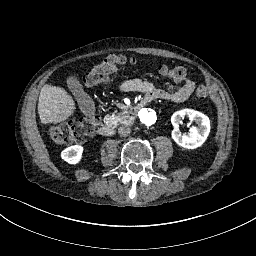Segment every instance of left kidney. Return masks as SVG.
<instances>
[{"label":"left kidney","mask_w":256,"mask_h":256,"mask_svg":"<svg viewBox=\"0 0 256 256\" xmlns=\"http://www.w3.org/2000/svg\"><path fill=\"white\" fill-rule=\"evenodd\" d=\"M185 117L190 122L195 121L197 125L196 128H191L188 133H182L178 129L179 122ZM171 122L175 127L172 132L173 140L184 149L194 150L201 147L206 142L211 130L209 117L192 109H183L175 112L172 115Z\"/></svg>","instance_id":"5707ae66"}]
</instances>
